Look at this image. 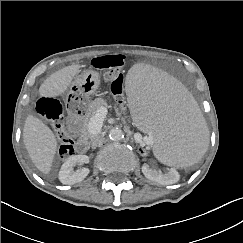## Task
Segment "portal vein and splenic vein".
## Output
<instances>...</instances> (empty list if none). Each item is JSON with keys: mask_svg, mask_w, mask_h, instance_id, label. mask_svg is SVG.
Wrapping results in <instances>:
<instances>
[{"mask_svg": "<svg viewBox=\"0 0 243 243\" xmlns=\"http://www.w3.org/2000/svg\"><path fill=\"white\" fill-rule=\"evenodd\" d=\"M107 108L105 107H101L100 109H98L97 113L95 114V116H93L90 119L89 122V131L92 134H97L100 132L103 121L107 115Z\"/></svg>", "mask_w": 243, "mask_h": 243, "instance_id": "portal-vein-and-splenic-vein-1", "label": "portal vein and splenic vein"}]
</instances>
